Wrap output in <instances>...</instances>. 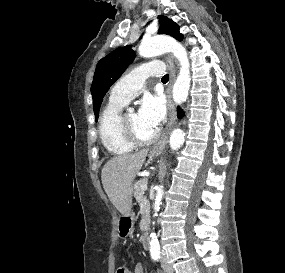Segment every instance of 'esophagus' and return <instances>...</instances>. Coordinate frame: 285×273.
Masks as SVG:
<instances>
[{"label":"esophagus","instance_id":"esophagus-1","mask_svg":"<svg viewBox=\"0 0 285 273\" xmlns=\"http://www.w3.org/2000/svg\"><path fill=\"white\" fill-rule=\"evenodd\" d=\"M166 64H167V67L169 69V72H170V84L168 86V89H167V98H168V109H169V122L167 124V132L166 134L164 135V137L158 142L156 143L153 148H152V152L153 153H158V152H161L167 142H168V134H169V131L174 127V124H175V120H176V110H175V105L172 101V95H171V89H172V85H173V82L175 80V76H176V69H175V66H174V62H173V59L170 55H168L166 57Z\"/></svg>","mask_w":285,"mask_h":273}]
</instances>
